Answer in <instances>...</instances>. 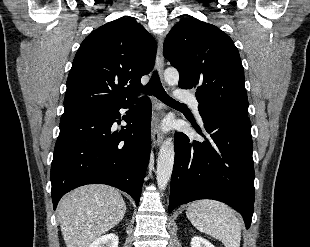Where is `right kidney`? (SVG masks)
Wrapping results in <instances>:
<instances>
[{
  "label": "right kidney",
  "mask_w": 310,
  "mask_h": 247,
  "mask_svg": "<svg viewBox=\"0 0 310 247\" xmlns=\"http://www.w3.org/2000/svg\"><path fill=\"white\" fill-rule=\"evenodd\" d=\"M118 243V236L110 233L97 238L88 247H118Z\"/></svg>",
  "instance_id": "1"
}]
</instances>
